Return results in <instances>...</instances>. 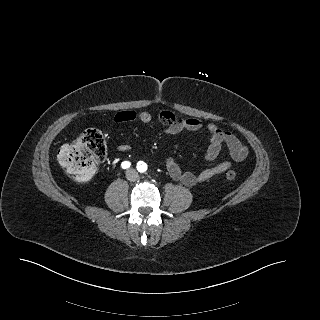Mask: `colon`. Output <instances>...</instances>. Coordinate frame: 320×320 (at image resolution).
<instances>
[{
    "instance_id": "5ec220e1",
    "label": "colon",
    "mask_w": 320,
    "mask_h": 320,
    "mask_svg": "<svg viewBox=\"0 0 320 320\" xmlns=\"http://www.w3.org/2000/svg\"><path fill=\"white\" fill-rule=\"evenodd\" d=\"M106 153L107 146L102 132L97 128H88L73 143L62 146L57 157L62 168L73 180L85 183L94 176ZM225 177L234 180L236 173L228 170Z\"/></svg>"
}]
</instances>
